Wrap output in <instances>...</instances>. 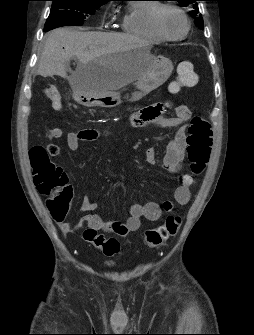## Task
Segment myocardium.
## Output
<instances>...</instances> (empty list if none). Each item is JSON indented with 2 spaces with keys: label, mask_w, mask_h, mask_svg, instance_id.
<instances>
[{
  "label": "myocardium",
  "mask_w": 254,
  "mask_h": 335,
  "mask_svg": "<svg viewBox=\"0 0 254 335\" xmlns=\"http://www.w3.org/2000/svg\"><path fill=\"white\" fill-rule=\"evenodd\" d=\"M166 9H170V10L176 11L183 18V20L185 22V30H184V32L180 36H176V37L168 36L161 29L160 16H161V13L164 10H166ZM151 23H152V27H153V30L155 31V33L161 39L167 40V41H180V40L184 39L188 35V33H189L190 29H191L190 20H189L187 14L184 12V10H182L179 6H176L174 4H168V3L167 4H159L155 8V10L153 11V14H152Z\"/></svg>",
  "instance_id": "myocardium-1"
}]
</instances>
